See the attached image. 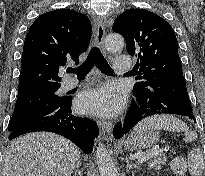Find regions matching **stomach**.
<instances>
[{
    "label": "stomach",
    "instance_id": "obj_1",
    "mask_svg": "<svg viewBox=\"0 0 205 176\" xmlns=\"http://www.w3.org/2000/svg\"><path fill=\"white\" fill-rule=\"evenodd\" d=\"M158 140V132L152 129L134 131L124 141V147L128 151L145 149L151 147Z\"/></svg>",
    "mask_w": 205,
    "mask_h": 176
}]
</instances>
